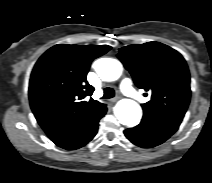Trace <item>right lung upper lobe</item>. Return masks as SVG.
<instances>
[{
  "instance_id": "1",
  "label": "right lung upper lobe",
  "mask_w": 212,
  "mask_h": 183,
  "mask_svg": "<svg viewBox=\"0 0 212 183\" xmlns=\"http://www.w3.org/2000/svg\"><path fill=\"white\" fill-rule=\"evenodd\" d=\"M110 46L58 44L35 64L29 83L31 109L54 141L78 133L106 113V105L90 96L86 80L91 62Z\"/></svg>"
}]
</instances>
